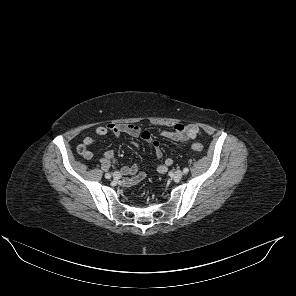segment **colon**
<instances>
[{
	"label": "colon",
	"mask_w": 296,
	"mask_h": 296,
	"mask_svg": "<svg viewBox=\"0 0 296 296\" xmlns=\"http://www.w3.org/2000/svg\"><path fill=\"white\" fill-rule=\"evenodd\" d=\"M192 148H193V150L196 151V152H202V151H203V146H202V144H200V143H193V144H192ZM79 152H80L81 154H83V153H85V149H84L82 146H80V147H79Z\"/></svg>",
	"instance_id": "obj_1"
}]
</instances>
